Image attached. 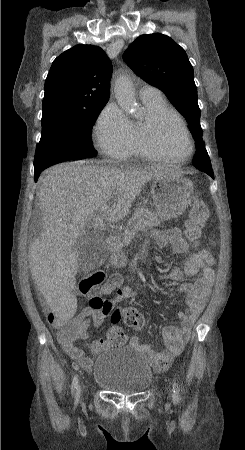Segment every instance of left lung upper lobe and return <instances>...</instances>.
Masks as SVG:
<instances>
[{"label":"left lung upper lobe","instance_id":"left-lung-upper-lobe-1","mask_svg":"<svg viewBox=\"0 0 245 450\" xmlns=\"http://www.w3.org/2000/svg\"><path fill=\"white\" fill-rule=\"evenodd\" d=\"M124 61L147 83L159 88L186 118L196 145H204L194 72L184 49L163 34L141 35L124 52ZM193 165L212 168L197 153Z\"/></svg>","mask_w":245,"mask_h":450}]
</instances>
